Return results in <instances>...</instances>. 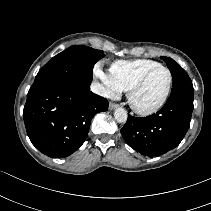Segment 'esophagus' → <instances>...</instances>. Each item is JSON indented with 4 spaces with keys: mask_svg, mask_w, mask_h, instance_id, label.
<instances>
[{
    "mask_svg": "<svg viewBox=\"0 0 211 211\" xmlns=\"http://www.w3.org/2000/svg\"><path fill=\"white\" fill-rule=\"evenodd\" d=\"M117 107H118V104L113 103V102H110V104H109V109H110V110H114V109H116Z\"/></svg>",
    "mask_w": 211,
    "mask_h": 211,
    "instance_id": "34e87169",
    "label": "esophagus"
}]
</instances>
